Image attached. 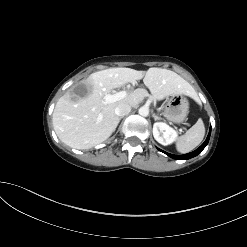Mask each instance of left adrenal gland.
Returning <instances> with one entry per match:
<instances>
[{
	"mask_svg": "<svg viewBox=\"0 0 247 247\" xmlns=\"http://www.w3.org/2000/svg\"><path fill=\"white\" fill-rule=\"evenodd\" d=\"M153 118L155 119V120H161V117H159V116H157L155 113H153Z\"/></svg>",
	"mask_w": 247,
	"mask_h": 247,
	"instance_id": "obj_1",
	"label": "left adrenal gland"
}]
</instances>
